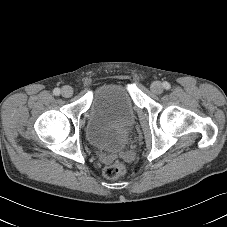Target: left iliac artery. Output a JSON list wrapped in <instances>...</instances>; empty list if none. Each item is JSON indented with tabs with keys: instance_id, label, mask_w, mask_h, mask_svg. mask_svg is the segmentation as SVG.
<instances>
[{
	"instance_id": "1",
	"label": "left iliac artery",
	"mask_w": 227,
	"mask_h": 227,
	"mask_svg": "<svg viewBox=\"0 0 227 227\" xmlns=\"http://www.w3.org/2000/svg\"><path fill=\"white\" fill-rule=\"evenodd\" d=\"M163 87H164L165 89H169V88H170V84H169L168 82H164V83H163Z\"/></svg>"
}]
</instances>
